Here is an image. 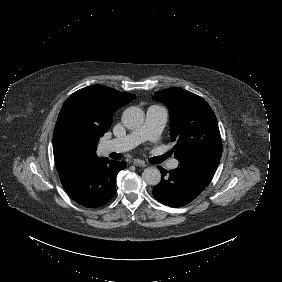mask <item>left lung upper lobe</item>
I'll return each instance as SVG.
<instances>
[{
  "label": "left lung upper lobe",
  "instance_id": "5c2ea615",
  "mask_svg": "<svg viewBox=\"0 0 282 282\" xmlns=\"http://www.w3.org/2000/svg\"><path fill=\"white\" fill-rule=\"evenodd\" d=\"M154 99L169 108L171 140L175 158L182 161L196 156L220 159L222 142L216 116L200 96L179 87L156 92Z\"/></svg>",
  "mask_w": 282,
  "mask_h": 282
}]
</instances>
